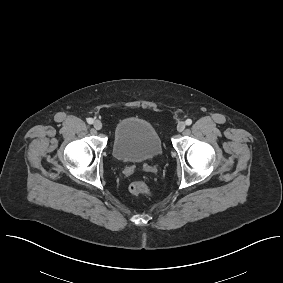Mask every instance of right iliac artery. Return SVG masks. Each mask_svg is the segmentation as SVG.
<instances>
[{
    "instance_id": "right-iliac-artery-1",
    "label": "right iliac artery",
    "mask_w": 283,
    "mask_h": 283,
    "mask_svg": "<svg viewBox=\"0 0 283 283\" xmlns=\"http://www.w3.org/2000/svg\"><path fill=\"white\" fill-rule=\"evenodd\" d=\"M87 122H88L89 124H93L94 120H93L92 118H88V119H87Z\"/></svg>"
}]
</instances>
